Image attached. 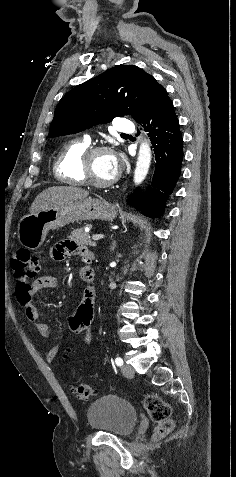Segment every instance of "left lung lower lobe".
Returning a JSON list of instances; mask_svg holds the SVG:
<instances>
[{"label": "left lung lower lobe", "instance_id": "obj_1", "mask_svg": "<svg viewBox=\"0 0 236 477\" xmlns=\"http://www.w3.org/2000/svg\"><path fill=\"white\" fill-rule=\"evenodd\" d=\"M149 132L156 155V166L151 185L141 196L137 189L131 203L149 217H160L165 202L172 193L181 173L183 139L173 104L166 90L161 87L151 110L141 122ZM141 198V199H140Z\"/></svg>", "mask_w": 236, "mask_h": 477}]
</instances>
